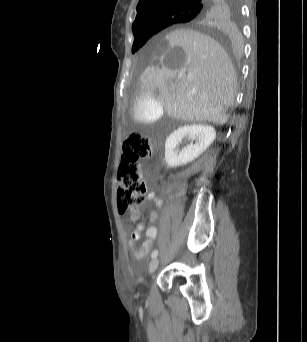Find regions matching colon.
<instances>
[{
	"mask_svg": "<svg viewBox=\"0 0 307 342\" xmlns=\"http://www.w3.org/2000/svg\"><path fill=\"white\" fill-rule=\"evenodd\" d=\"M152 149L151 141L139 133L130 135L123 143L116 196L120 213L125 216H140L146 184L141 175L139 161L150 158Z\"/></svg>",
	"mask_w": 307,
	"mask_h": 342,
	"instance_id": "5ec220e1",
	"label": "colon"
}]
</instances>
